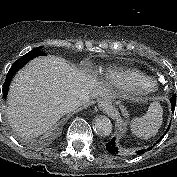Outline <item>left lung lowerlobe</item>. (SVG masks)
Listing matches in <instances>:
<instances>
[{"label":"left lung lower lobe","mask_w":177,"mask_h":177,"mask_svg":"<svg viewBox=\"0 0 177 177\" xmlns=\"http://www.w3.org/2000/svg\"><path fill=\"white\" fill-rule=\"evenodd\" d=\"M170 102H171V108H172V113L174 112V109H175V106H176V95H173L171 98H170ZM170 126L167 128V130L165 131L164 135L168 132ZM163 137V136H162ZM161 137V139H162ZM160 139V140H161ZM159 140V141H160ZM157 141V142H159ZM151 148H153V146L147 148V149H143V150H139L137 151V154L140 155V154H143L145 153L147 150H151ZM106 149L109 153L111 154H118V149L115 145V139L113 138L111 141H109L107 144H106Z\"/></svg>","instance_id":"left-lung-lower-lobe-1"}]
</instances>
